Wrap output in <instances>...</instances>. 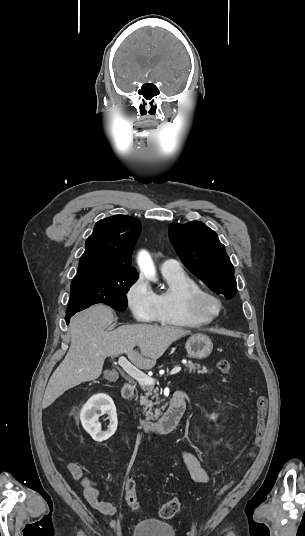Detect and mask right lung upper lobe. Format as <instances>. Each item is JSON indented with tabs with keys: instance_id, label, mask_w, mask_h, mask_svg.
Returning <instances> with one entry per match:
<instances>
[{
	"instance_id": "cb5924a9",
	"label": "right lung upper lobe",
	"mask_w": 305,
	"mask_h": 536,
	"mask_svg": "<svg viewBox=\"0 0 305 536\" xmlns=\"http://www.w3.org/2000/svg\"><path fill=\"white\" fill-rule=\"evenodd\" d=\"M140 231V221L131 216L115 215L98 221L86 240L75 277L139 276L130 264Z\"/></svg>"
}]
</instances>
